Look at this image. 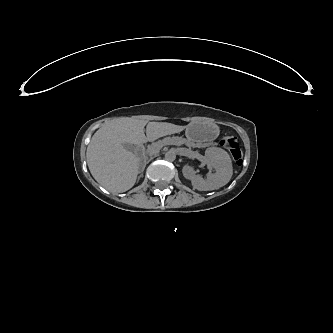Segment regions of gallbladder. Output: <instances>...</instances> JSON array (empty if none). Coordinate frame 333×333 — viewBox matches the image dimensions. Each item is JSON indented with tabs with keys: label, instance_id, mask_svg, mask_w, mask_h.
Here are the masks:
<instances>
[{
	"label": "gallbladder",
	"instance_id": "obj_1",
	"mask_svg": "<svg viewBox=\"0 0 333 333\" xmlns=\"http://www.w3.org/2000/svg\"><path fill=\"white\" fill-rule=\"evenodd\" d=\"M124 148H126L127 150L133 151L134 149V145L133 144H129V143H125L123 144Z\"/></svg>",
	"mask_w": 333,
	"mask_h": 333
}]
</instances>
